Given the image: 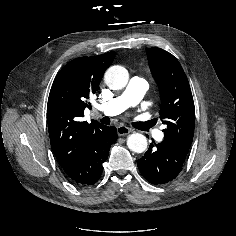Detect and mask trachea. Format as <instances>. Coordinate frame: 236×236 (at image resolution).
I'll return each instance as SVG.
<instances>
[{"label":"trachea","instance_id":"1","mask_svg":"<svg viewBox=\"0 0 236 236\" xmlns=\"http://www.w3.org/2000/svg\"><path fill=\"white\" fill-rule=\"evenodd\" d=\"M101 123L105 124V125H109L110 124V119L108 117H103L100 120Z\"/></svg>","mask_w":236,"mask_h":236}]
</instances>
